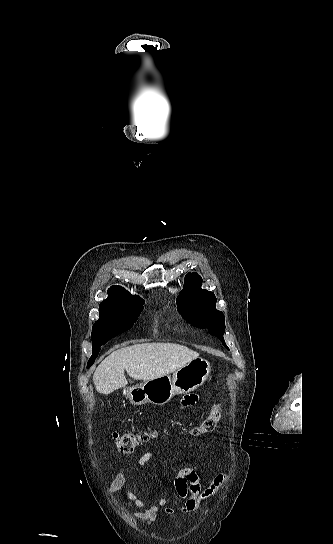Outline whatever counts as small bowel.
Masks as SVG:
<instances>
[{"instance_id":"1","label":"small bowel","mask_w":333,"mask_h":544,"mask_svg":"<svg viewBox=\"0 0 333 544\" xmlns=\"http://www.w3.org/2000/svg\"><path fill=\"white\" fill-rule=\"evenodd\" d=\"M197 400V395H187L182 400V406H192ZM152 458L153 455L151 453H145L141 456L137 465L144 466L150 462ZM135 467L136 465L133 463L125 464L114 477L108 491L110 494H113L123 490L128 500L139 509L133 516L138 520L151 524L156 519L160 508L165 507L168 501L164 497H159L156 503H152L139 497L135 492L127 488L128 471ZM227 479V474H218L212 479L208 487L203 488L201 479L194 468L185 467L180 469L174 479V487L178 497L184 500L183 511L193 512L198 510L204 502L217 494ZM166 512L167 514H171L173 511L172 509L167 508Z\"/></svg>"}]
</instances>
